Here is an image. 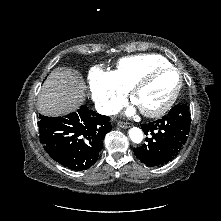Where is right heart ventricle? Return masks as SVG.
Masks as SVG:
<instances>
[{"label":"right heart ventricle","mask_w":221,"mask_h":221,"mask_svg":"<svg viewBox=\"0 0 221 221\" xmlns=\"http://www.w3.org/2000/svg\"><path fill=\"white\" fill-rule=\"evenodd\" d=\"M170 65L164 57L156 54L137 55L122 58L113 71L118 82L130 91L136 82L149 70Z\"/></svg>","instance_id":"e07e8e85"}]
</instances>
